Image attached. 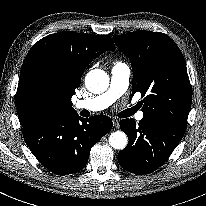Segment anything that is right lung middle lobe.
I'll list each match as a JSON object with an SVG mask.
<instances>
[{"label": "right lung middle lobe", "instance_id": "obj_1", "mask_svg": "<svg viewBox=\"0 0 206 206\" xmlns=\"http://www.w3.org/2000/svg\"><path fill=\"white\" fill-rule=\"evenodd\" d=\"M43 113H47V108H46V106L43 107Z\"/></svg>", "mask_w": 206, "mask_h": 206}]
</instances>
